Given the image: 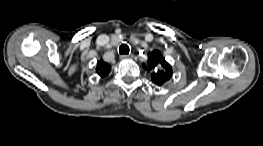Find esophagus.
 <instances>
[{
    "label": "esophagus",
    "mask_w": 263,
    "mask_h": 146,
    "mask_svg": "<svg viewBox=\"0 0 263 146\" xmlns=\"http://www.w3.org/2000/svg\"><path fill=\"white\" fill-rule=\"evenodd\" d=\"M129 58H130L129 55H121V56H120V59H121V60L129 59Z\"/></svg>",
    "instance_id": "esophagus-1"
}]
</instances>
